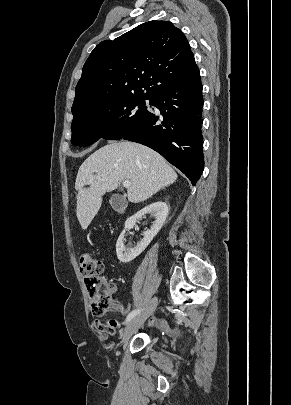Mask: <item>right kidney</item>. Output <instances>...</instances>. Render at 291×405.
I'll use <instances>...</instances> for the list:
<instances>
[{
	"instance_id": "1",
	"label": "right kidney",
	"mask_w": 291,
	"mask_h": 405,
	"mask_svg": "<svg viewBox=\"0 0 291 405\" xmlns=\"http://www.w3.org/2000/svg\"><path fill=\"white\" fill-rule=\"evenodd\" d=\"M168 206L165 202L158 201L146 206L135 215L128 218L125 222V227L120 234L116 243V253L120 262L128 263L140 255L146 247L150 244L153 238L157 235L159 230L162 228L167 216H168ZM145 214H150L155 218L153 225L149 230L144 233L143 239L133 248L125 249L124 247V234L126 230L133 228L138 219H140Z\"/></svg>"
}]
</instances>
